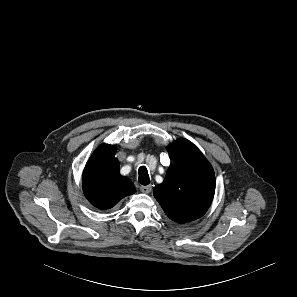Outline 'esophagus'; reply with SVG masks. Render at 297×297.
<instances>
[{"mask_svg":"<svg viewBox=\"0 0 297 297\" xmlns=\"http://www.w3.org/2000/svg\"><path fill=\"white\" fill-rule=\"evenodd\" d=\"M151 185H147V186H140V191L143 193H150L151 192Z\"/></svg>","mask_w":297,"mask_h":297,"instance_id":"1","label":"esophagus"}]
</instances>
